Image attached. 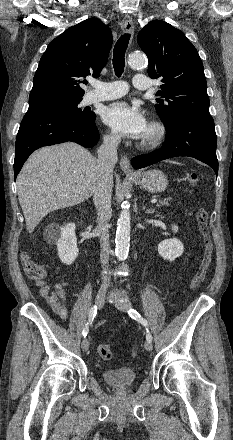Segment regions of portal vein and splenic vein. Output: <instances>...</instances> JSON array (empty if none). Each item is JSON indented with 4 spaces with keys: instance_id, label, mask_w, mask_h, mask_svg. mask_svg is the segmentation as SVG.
<instances>
[{
    "instance_id": "obj_1",
    "label": "portal vein and splenic vein",
    "mask_w": 233,
    "mask_h": 440,
    "mask_svg": "<svg viewBox=\"0 0 233 440\" xmlns=\"http://www.w3.org/2000/svg\"><path fill=\"white\" fill-rule=\"evenodd\" d=\"M151 202H152V203L154 204V203H156V202H157V200H156V199H154V200H152Z\"/></svg>"
}]
</instances>
